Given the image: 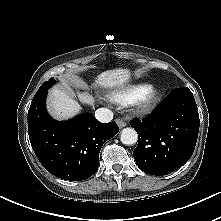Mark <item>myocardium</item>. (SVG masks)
<instances>
[{
    "label": "myocardium",
    "mask_w": 221,
    "mask_h": 221,
    "mask_svg": "<svg viewBox=\"0 0 221 221\" xmlns=\"http://www.w3.org/2000/svg\"><path fill=\"white\" fill-rule=\"evenodd\" d=\"M158 90L154 87H148L134 102L138 111L143 112L148 110L158 98Z\"/></svg>",
    "instance_id": "f54148a6"
}]
</instances>
